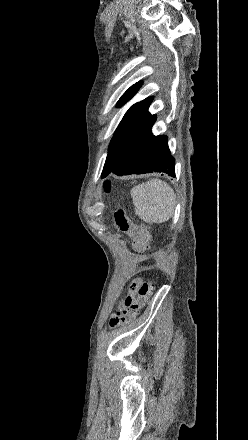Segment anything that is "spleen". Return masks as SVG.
Wrapping results in <instances>:
<instances>
[{"mask_svg":"<svg viewBox=\"0 0 248 440\" xmlns=\"http://www.w3.org/2000/svg\"><path fill=\"white\" fill-rule=\"evenodd\" d=\"M131 196L136 215L146 223H164L174 213V191L162 180L152 179L133 187Z\"/></svg>","mask_w":248,"mask_h":440,"instance_id":"1","label":"spleen"}]
</instances>
